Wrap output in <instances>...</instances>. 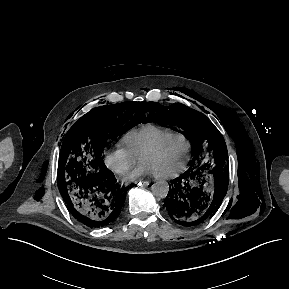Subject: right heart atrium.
I'll list each match as a JSON object with an SVG mask.
<instances>
[{
    "label": "right heart atrium",
    "mask_w": 289,
    "mask_h": 289,
    "mask_svg": "<svg viewBox=\"0 0 289 289\" xmlns=\"http://www.w3.org/2000/svg\"><path fill=\"white\" fill-rule=\"evenodd\" d=\"M137 161L138 157L122 144L104 152L105 165L120 176L125 175Z\"/></svg>",
    "instance_id": "d8ad5b80"
}]
</instances>
